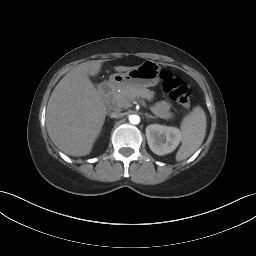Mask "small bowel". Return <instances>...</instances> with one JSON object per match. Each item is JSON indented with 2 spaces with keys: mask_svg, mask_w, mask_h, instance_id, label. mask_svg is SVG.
Masks as SVG:
<instances>
[{
  "mask_svg": "<svg viewBox=\"0 0 256 256\" xmlns=\"http://www.w3.org/2000/svg\"><path fill=\"white\" fill-rule=\"evenodd\" d=\"M154 111L162 118H170L172 116L170 104L167 101L158 102L154 107Z\"/></svg>",
  "mask_w": 256,
  "mask_h": 256,
  "instance_id": "c3829d8e",
  "label": "small bowel"
}]
</instances>
